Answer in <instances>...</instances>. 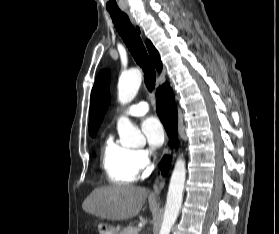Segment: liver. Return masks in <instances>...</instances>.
I'll return each mask as SVG.
<instances>
[{
  "label": "liver",
  "instance_id": "6515ba94",
  "mask_svg": "<svg viewBox=\"0 0 279 234\" xmlns=\"http://www.w3.org/2000/svg\"><path fill=\"white\" fill-rule=\"evenodd\" d=\"M147 195L145 188L132 185L101 187L92 191L82 208L102 219L126 220L140 212Z\"/></svg>",
  "mask_w": 279,
  "mask_h": 234
}]
</instances>
